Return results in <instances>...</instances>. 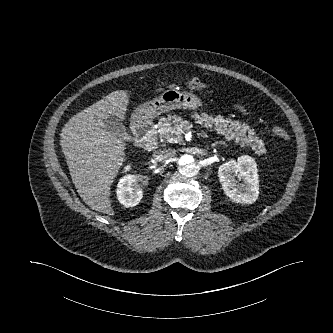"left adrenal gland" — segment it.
I'll list each match as a JSON object with an SVG mask.
<instances>
[{"instance_id":"obj_1","label":"left adrenal gland","mask_w":333,"mask_h":333,"mask_svg":"<svg viewBox=\"0 0 333 333\" xmlns=\"http://www.w3.org/2000/svg\"><path fill=\"white\" fill-rule=\"evenodd\" d=\"M217 144H221V145H222V144H224V143H223V142H216V143H214L212 146L215 147Z\"/></svg>"}]
</instances>
